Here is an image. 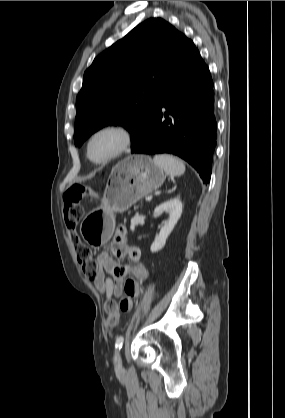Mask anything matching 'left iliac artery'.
<instances>
[{
	"label": "left iliac artery",
	"instance_id": "1",
	"mask_svg": "<svg viewBox=\"0 0 285 418\" xmlns=\"http://www.w3.org/2000/svg\"><path fill=\"white\" fill-rule=\"evenodd\" d=\"M124 342V337L122 335L118 336L115 342L116 350H120L122 348Z\"/></svg>",
	"mask_w": 285,
	"mask_h": 418
}]
</instances>
